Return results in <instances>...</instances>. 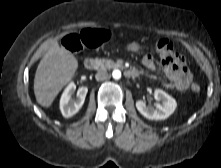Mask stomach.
Returning a JSON list of instances; mask_svg holds the SVG:
<instances>
[{
    "label": "stomach",
    "instance_id": "obj_1",
    "mask_svg": "<svg viewBox=\"0 0 221 168\" xmlns=\"http://www.w3.org/2000/svg\"><path fill=\"white\" fill-rule=\"evenodd\" d=\"M140 45L136 42H131L126 45V49L131 52H137L140 50Z\"/></svg>",
    "mask_w": 221,
    "mask_h": 168
}]
</instances>
